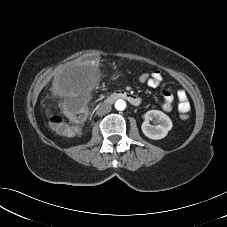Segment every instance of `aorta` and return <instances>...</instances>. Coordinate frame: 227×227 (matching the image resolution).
I'll list each match as a JSON object with an SVG mask.
<instances>
[{"label":"aorta","instance_id":"aorta-1","mask_svg":"<svg viewBox=\"0 0 227 227\" xmlns=\"http://www.w3.org/2000/svg\"><path fill=\"white\" fill-rule=\"evenodd\" d=\"M126 108V102L123 99H118L115 102V109L118 111H123Z\"/></svg>","mask_w":227,"mask_h":227}]
</instances>
